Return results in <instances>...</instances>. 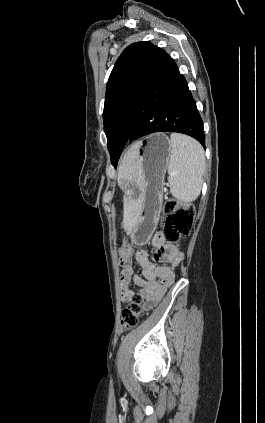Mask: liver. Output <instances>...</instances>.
Returning a JSON list of instances; mask_svg holds the SVG:
<instances>
[{
  "mask_svg": "<svg viewBox=\"0 0 265 423\" xmlns=\"http://www.w3.org/2000/svg\"><path fill=\"white\" fill-rule=\"evenodd\" d=\"M138 144L135 143L124 155L121 160V164L118 172V181L121 183L123 181L140 183L141 182V170L136 162V150ZM141 205L135 201H129L126 203L124 208V218H123V227L130 233L133 226L137 222Z\"/></svg>",
  "mask_w": 265,
  "mask_h": 423,
  "instance_id": "1",
  "label": "liver"
}]
</instances>
